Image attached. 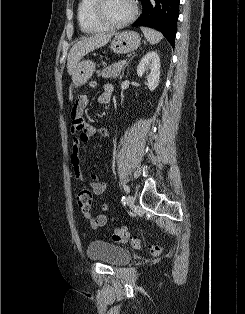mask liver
<instances>
[{
  "mask_svg": "<svg viewBox=\"0 0 245 314\" xmlns=\"http://www.w3.org/2000/svg\"><path fill=\"white\" fill-rule=\"evenodd\" d=\"M114 33L96 34L91 37L82 38L71 48L67 58V71L72 75L78 62L89 52L106 45Z\"/></svg>",
  "mask_w": 245,
  "mask_h": 314,
  "instance_id": "6515ba94",
  "label": "liver"
}]
</instances>
